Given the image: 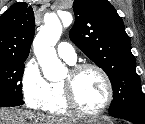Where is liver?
<instances>
[{
    "label": "liver",
    "instance_id": "6515ba94",
    "mask_svg": "<svg viewBox=\"0 0 145 124\" xmlns=\"http://www.w3.org/2000/svg\"><path fill=\"white\" fill-rule=\"evenodd\" d=\"M77 119L57 118L22 109H0V124H79Z\"/></svg>",
    "mask_w": 145,
    "mask_h": 124
}]
</instances>
